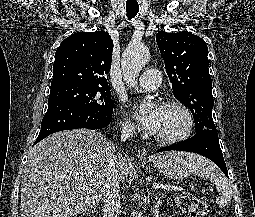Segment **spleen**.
Segmentation results:
<instances>
[{
  "label": "spleen",
  "mask_w": 255,
  "mask_h": 217,
  "mask_svg": "<svg viewBox=\"0 0 255 217\" xmlns=\"http://www.w3.org/2000/svg\"><path fill=\"white\" fill-rule=\"evenodd\" d=\"M181 155L189 160L193 172L210 179L216 185L219 193L217 203L220 207H225L232 198V185L229 180L220 172L214 163L206 158L191 153H181Z\"/></svg>",
  "instance_id": "1"
}]
</instances>
